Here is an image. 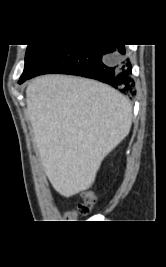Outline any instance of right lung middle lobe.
Wrapping results in <instances>:
<instances>
[{
    "label": "right lung middle lobe",
    "instance_id": "obj_1",
    "mask_svg": "<svg viewBox=\"0 0 166 267\" xmlns=\"http://www.w3.org/2000/svg\"><path fill=\"white\" fill-rule=\"evenodd\" d=\"M53 45H28L25 55V67L20 77L19 83L25 81L27 77L32 73L34 68L44 57V55L52 48Z\"/></svg>",
    "mask_w": 166,
    "mask_h": 267
}]
</instances>
